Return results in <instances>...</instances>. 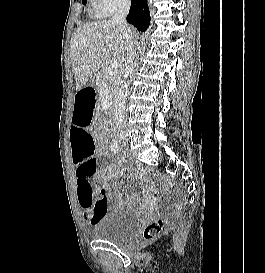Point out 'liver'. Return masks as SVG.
<instances>
[{
  "label": "liver",
  "mask_w": 265,
  "mask_h": 273,
  "mask_svg": "<svg viewBox=\"0 0 265 273\" xmlns=\"http://www.w3.org/2000/svg\"><path fill=\"white\" fill-rule=\"evenodd\" d=\"M111 21H98L79 25L71 38L70 54L76 81V90L87 85L111 58L122 61L128 43L133 37Z\"/></svg>",
  "instance_id": "1"
}]
</instances>
